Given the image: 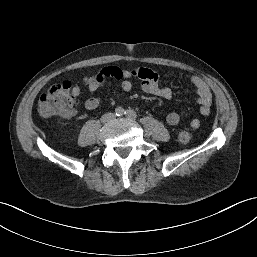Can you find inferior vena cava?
<instances>
[{
    "instance_id": "1",
    "label": "inferior vena cava",
    "mask_w": 257,
    "mask_h": 257,
    "mask_svg": "<svg viewBox=\"0 0 257 257\" xmlns=\"http://www.w3.org/2000/svg\"><path fill=\"white\" fill-rule=\"evenodd\" d=\"M115 118L114 113H106L101 117L102 122H110Z\"/></svg>"
}]
</instances>
